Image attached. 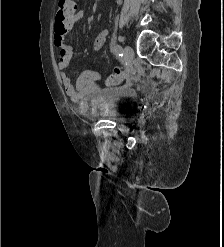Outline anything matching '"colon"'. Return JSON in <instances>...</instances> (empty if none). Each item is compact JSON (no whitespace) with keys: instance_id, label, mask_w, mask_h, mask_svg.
Listing matches in <instances>:
<instances>
[{"instance_id":"colon-1","label":"colon","mask_w":224,"mask_h":247,"mask_svg":"<svg viewBox=\"0 0 224 247\" xmlns=\"http://www.w3.org/2000/svg\"><path fill=\"white\" fill-rule=\"evenodd\" d=\"M75 13L76 4L74 0H59L55 17V31L61 34H67L73 26ZM126 78V73L119 70L108 78L107 83L110 85L120 84Z\"/></svg>"}]
</instances>
